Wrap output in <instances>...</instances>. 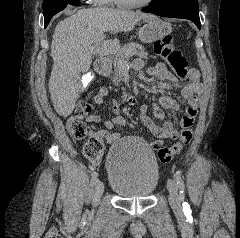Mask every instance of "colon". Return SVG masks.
<instances>
[{
	"label": "colon",
	"mask_w": 240,
	"mask_h": 238,
	"mask_svg": "<svg viewBox=\"0 0 240 238\" xmlns=\"http://www.w3.org/2000/svg\"><path fill=\"white\" fill-rule=\"evenodd\" d=\"M155 51L157 54L166 58L172 69L181 79H186L189 76L190 70L187 68V60L182 55L181 51L176 47L174 40L171 37H164L155 43ZM90 104L86 100H80L75 108L74 113L68 118L66 126L70 135L75 139H85L87 141L84 146L85 156L94 163H99L101 155H104V144L102 140V132L90 131L84 118L90 113ZM193 137V132L190 127L184 128L179 140L170 147L160 148L158 158L162 163L170 162L181 150L187 146ZM103 158V157H101Z\"/></svg>",
	"instance_id": "5ec220e1"
}]
</instances>
